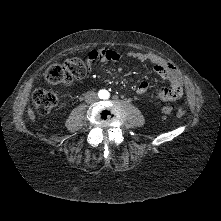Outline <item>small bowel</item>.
<instances>
[{
	"label": "small bowel",
	"instance_id": "small-bowel-1",
	"mask_svg": "<svg viewBox=\"0 0 221 221\" xmlns=\"http://www.w3.org/2000/svg\"><path fill=\"white\" fill-rule=\"evenodd\" d=\"M126 55L140 62H150L153 70L170 86L158 90L153 97L162 101H173L180 98L183 94V78L179 70L170 62L153 53L128 51ZM123 55L112 49L91 50L87 55V65L91 69L94 62L119 61ZM149 85L143 81L139 83L136 93L144 96L148 93Z\"/></svg>",
	"mask_w": 221,
	"mask_h": 221
}]
</instances>
